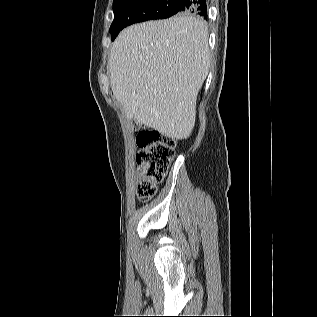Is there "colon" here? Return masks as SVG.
I'll return each mask as SVG.
<instances>
[{
    "label": "colon",
    "mask_w": 317,
    "mask_h": 317,
    "mask_svg": "<svg viewBox=\"0 0 317 317\" xmlns=\"http://www.w3.org/2000/svg\"><path fill=\"white\" fill-rule=\"evenodd\" d=\"M140 152L137 155L139 179L136 193L139 199L152 198L165 177L175 155L176 141L153 129H142L137 135Z\"/></svg>",
    "instance_id": "5ec220e1"
}]
</instances>
